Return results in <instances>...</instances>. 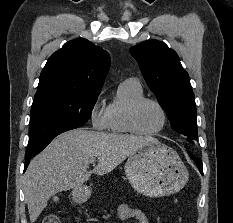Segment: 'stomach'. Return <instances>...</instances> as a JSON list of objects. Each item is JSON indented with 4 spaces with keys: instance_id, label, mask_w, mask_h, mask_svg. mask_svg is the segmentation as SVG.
<instances>
[{
    "instance_id": "1",
    "label": "stomach",
    "mask_w": 233,
    "mask_h": 223,
    "mask_svg": "<svg viewBox=\"0 0 233 223\" xmlns=\"http://www.w3.org/2000/svg\"><path fill=\"white\" fill-rule=\"evenodd\" d=\"M133 189L146 197H162L179 191L188 181L189 173L178 153L164 143H146L129 155L124 165ZM90 185L71 191L73 201L86 203L92 197Z\"/></svg>"
}]
</instances>
